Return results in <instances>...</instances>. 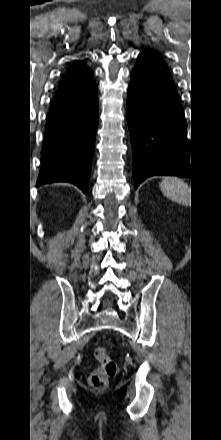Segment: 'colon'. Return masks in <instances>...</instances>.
Masks as SVG:
<instances>
[{
	"label": "colon",
	"mask_w": 221,
	"mask_h": 440,
	"mask_svg": "<svg viewBox=\"0 0 221 440\" xmlns=\"http://www.w3.org/2000/svg\"><path fill=\"white\" fill-rule=\"evenodd\" d=\"M94 357L99 365L90 374L89 384L95 389L102 390L108 386L109 379L116 375L118 367L105 347L95 348Z\"/></svg>",
	"instance_id": "obj_1"
}]
</instances>
